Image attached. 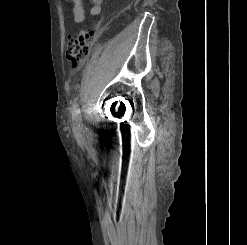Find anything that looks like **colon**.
Listing matches in <instances>:
<instances>
[{"label": "colon", "instance_id": "1", "mask_svg": "<svg viewBox=\"0 0 247 245\" xmlns=\"http://www.w3.org/2000/svg\"><path fill=\"white\" fill-rule=\"evenodd\" d=\"M94 31L83 29L77 35H70L66 44V59L72 67H78L87 56L94 42Z\"/></svg>", "mask_w": 247, "mask_h": 245}]
</instances>
